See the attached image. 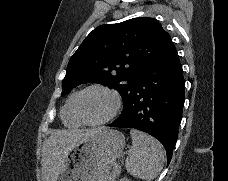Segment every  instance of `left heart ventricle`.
<instances>
[{
    "label": "left heart ventricle",
    "mask_w": 228,
    "mask_h": 181,
    "mask_svg": "<svg viewBox=\"0 0 228 181\" xmlns=\"http://www.w3.org/2000/svg\"><path fill=\"white\" fill-rule=\"evenodd\" d=\"M111 105V98L102 91L91 90L85 93L80 101L81 113L89 115L94 121L102 117Z\"/></svg>",
    "instance_id": "b2bd125f"
}]
</instances>
